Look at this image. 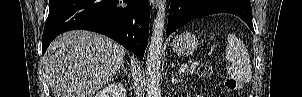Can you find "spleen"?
<instances>
[{
	"label": "spleen",
	"mask_w": 302,
	"mask_h": 97,
	"mask_svg": "<svg viewBox=\"0 0 302 97\" xmlns=\"http://www.w3.org/2000/svg\"><path fill=\"white\" fill-rule=\"evenodd\" d=\"M225 56L231 65L227 66L228 73L235 79L250 82L252 79L251 63L244 43L235 35L227 36Z\"/></svg>",
	"instance_id": "spleen-1"
}]
</instances>
